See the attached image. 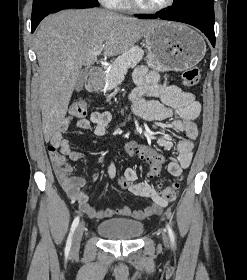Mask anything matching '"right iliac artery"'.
Listing matches in <instances>:
<instances>
[{
    "label": "right iliac artery",
    "mask_w": 247,
    "mask_h": 280,
    "mask_svg": "<svg viewBox=\"0 0 247 280\" xmlns=\"http://www.w3.org/2000/svg\"><path fill=\"white\" fill-rule=\"evenodd\" d=\"M79 223V217L77 216L73 223H72V226H71V229H70V233H69V236H68V239H67V243H66V247H65V253L68 254L69 251H70V248H71V244H72V238H73V234H74V231L77 227Z\"/></svg>",
    "instance_id": "right-iliac-artery-1"
}]
</instances>
